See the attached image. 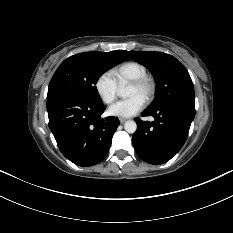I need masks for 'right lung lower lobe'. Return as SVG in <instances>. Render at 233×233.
<instances>
[{
	"label": "right lung lower lobe",
	"instance_id": "1",
	"mask_svg": "<svg viewBox=\"0 0 233 233\" xmlns=\"http://www.w3.org/2000/svg\"><path fill=\"white\" fill-rule=\"evenodd\" d=\"M104 110L103 104L71 97L47 99L49 127L62 154L76 165L92 166L107 155L119 121L101 118Z\"/></svg>",
	"mask_w": 233,
	"mask_h": 233
}]
</instances>
